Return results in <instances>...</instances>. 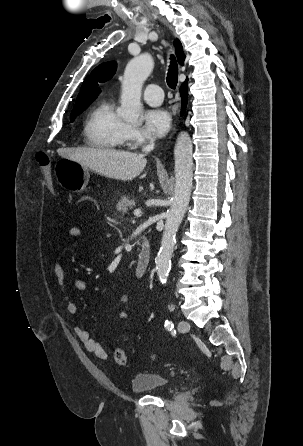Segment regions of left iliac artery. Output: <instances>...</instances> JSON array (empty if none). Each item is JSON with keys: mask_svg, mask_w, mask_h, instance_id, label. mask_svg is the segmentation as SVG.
<instances>
[{"mask_svg": "<svg viewBox=\"0 0 303 446\" xmlns=\"http://www.w3.org/2000/svg\"><path fill=\"white\" fill-rule=\"evenodd\" d=\"M165 328H166L168 331H172L173 328H174V325H173V323H172L171 321L166 320V321H165Z\"/></svg>", "mask_w": 303, "mask_h": 446, "instance_id": "44dca946", "label": "left iliac artery"}]
</instances>
